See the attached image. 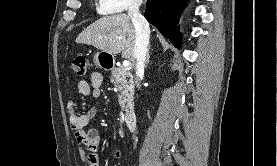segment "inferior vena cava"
<instances>
[{
  "instance_id": "1",
  "label": "inferior vena cava",
  "mask_w": 277,
  "mask_h": 166,
  "mask_svg": "<svg viewBox=\"0 0 277 166\" xmlns=\"http://www.w3.org/2000/svg\"><path fill=\"white\" fill-rule=\"evenodd\" d=\"M141 0H132L128 15L130 16L132 23L135 27V47H134V58H135V70L136 79L135 84L137 88H140V78L144 74V68L146 64V56L148 52L150 28L149 23L140 13L139 7Z\"/></svg>"
}]
</instances>
